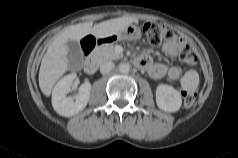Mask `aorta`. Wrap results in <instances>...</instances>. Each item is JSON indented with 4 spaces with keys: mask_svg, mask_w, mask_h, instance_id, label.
I'll return each mask as SVG.
<instances>
[{
    "mask_svg": "<svg viewBox=\"0 0 238 158\" xmlns=\"http://www.w3.org/2000/svg\"><path fill=\"white\" fill-rule=\"evenodd\" d=\"M130 70V65L128 63H120L119 64V71L121 73H128Z\"/></svg>",
    "mask_w": 238,
    "mask_h": 158,
    "instance_id": "obj_1",
    "label": "aorta"
}]
</instances>
